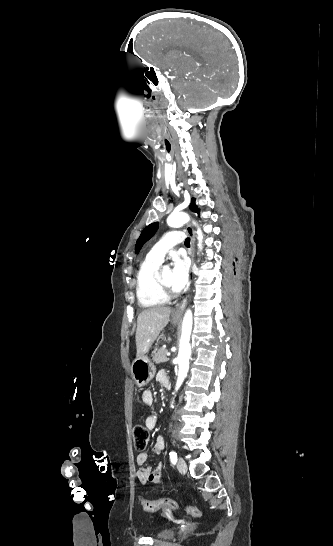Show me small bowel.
Returning a JSON list of instances; mask_svg holds the SVG:
<instances>
[{"label": "small bowel", "mask_w": 333, "mask_h": 546, "mask_svg": "<svg viewBox=\"0 0 333 546\" xmlns=\"http://www.w3.org/2000/svg\"><path fill=\"white\" fill-rule=\"evenodd\" d=\"M157 380L160 384L166 385L169 383V378L165 371H160L157 374ZM142 401L147 406H152L154 404V395L153 392L149 389L145 390L142 393ZM145 425L148 429H154L157 425V415L156 413H149L145 418ZM164 449V438L163 436H158L154 442L153 452L159 454ZM148 454L141 452L136 456V463L140 466V469L137 471L136 476L140 483L148 484H161L163 483V471L164 465L160 463L156 468L147 465Z\"/></svg>", "instance_id": "c3829d8e"}]
</instances>
